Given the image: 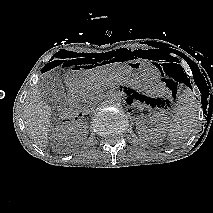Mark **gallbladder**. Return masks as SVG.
I'll use <instances>...</instances> for the list:
<instances>
[{
	"mask_svg": "<svg viewBox=\"0 0 213 213\" xmlns=\"http://www.w3.org/2000/svg\"><path fill=\"white\" fill-rule=\"evenodd\" d=\"M38 87L41 97L51 107L57 110L67 108V97L64 91V85L57 71L45 73L38 81Z\"/></svg>",
	"mask_w": 213,
	"mask_h": 213,
	"instance_id": "1",
	"label": "gallbladder"
}]
</instances>
